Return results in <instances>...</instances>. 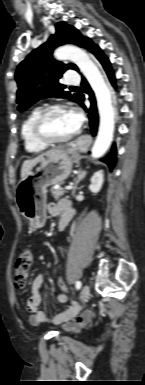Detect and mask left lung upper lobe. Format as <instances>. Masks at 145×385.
Instances as JSON below:
<instances>
[{
  "instance_id": "5c2ea615",
  "label": "left lung upper lobe",
  "mask_w": 145,
  "mask_h": 385,
  "mask_svg": "<svg viewBox=\"0 0 145 385\" xmlns=\"http://www.w3.org/2000/svg\"><path fill=\"white\" fill-rule=\"evenodd\" d=\"M72 43L87 48L90 40L65 22L56 24V33L48 41L33 50L17 67L15 80L18 84V110L29 108L35 102L47 97L69 98L80 103L82 95L65 92L58 82L67 69L78 68L74 64H63L52 58L53 50L63 44Z\"/></svg>"
}]
</instances>
